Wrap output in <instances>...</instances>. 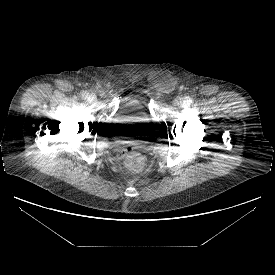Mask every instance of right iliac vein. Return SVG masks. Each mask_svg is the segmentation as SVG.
<instances>
[{"instance_id":"63e3f726","label":"right iliac vein","mask_w":275,"mask_h":275,"mask_svg":"<svg viewBox=\"0 0 275 275\" xmlns=\"http://www.w3.org/2000/svg\"><path fill=\"white\" fill-rule=\"evenodd\" d=\"M90 99H94V97H93V96H90Z\"/></svg>"}]
</instances>
